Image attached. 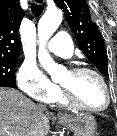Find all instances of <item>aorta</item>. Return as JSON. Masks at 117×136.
Masks as SVG:
<instances>
[{
    "label": "aorta",
    "instance_id": "obj_1",
    "mask_svg": "<svg viewBox=\"0 0 117 136\" xmlns=\"http://www.w3.org/2000/svg\"><path fill=\"white\" fill-rule=\"evenodd\" d=\"M62 18V12L59 9L48 10L40 18L38 23V38L40 44L38 59L42 67L52 78H55L63 68L54 62L45 49V45L61 24Z\"/></svg>",
    "mask_w": 117,
    "mask_h": 136
}]
</instances>
